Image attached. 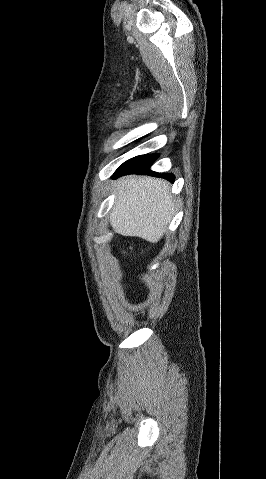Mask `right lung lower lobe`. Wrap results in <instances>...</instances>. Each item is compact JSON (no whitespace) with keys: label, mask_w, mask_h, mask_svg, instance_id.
Returning a JSON list of instances; mask_svg holds the SVG:
<instances>
[{"label":"right lung lower lobe","mask_w":266,"mask_h":479,"mask_svg":"<svg viewBox=\"0 0 266 479\" xmlns=\"http://www.w3.org/2000/svg\"><path fill=\"white\" fill-rule=\"evenodd\" d=\"M158 158L157 154H147L134 157L129 159L128 161L124 162L113 174L112 178H117L127 174H144L149 173L153 174L162 178H165L169 181H174L175 177L171 173L167 174H159L156 172H152L150 170V166L155 162Z\"/></svg>","instance_id":"98d812e1"}]
</instances>
